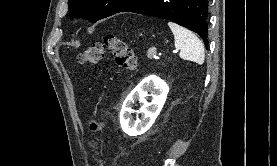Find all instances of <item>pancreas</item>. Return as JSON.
I'll return each instance as SVG.
<instances>
[{
	"label": "pancreas",
	"mask_w": 277,
	"mask_h": 166,
	"mask_svg": "<svg viewBox=\"0 0 277 166\" xmlns=\"http://www.w3.org/2000/svg\"><path fill=\"white\" fill-rule=\"evenodd\" d=\"M152 53H155V50H154V49H149V50L147 51V56H148L149 58H151L150 55H151Z\"/></svg>",
	"instance_id": "cf45deb5"
}]
</instances>
